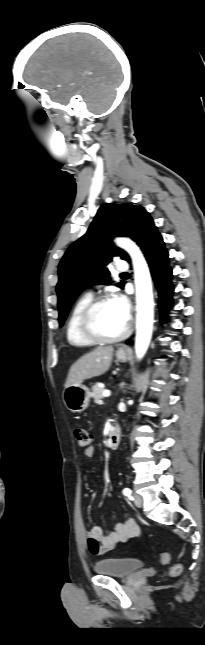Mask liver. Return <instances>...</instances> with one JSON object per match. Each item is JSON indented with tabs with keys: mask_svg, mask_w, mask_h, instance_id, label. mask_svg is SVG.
I'll list each match as a JSON object with an SVG mask.
<instances>
[{
	"mask_svg": "<svg viewBox=\"0 0 205 645\" xmlns=\"http://www.w3.org/2000/svg\"><path fill=\"white\" fill-rule=\"evenodd\" d=\"M113 351L112 346H100L79 358L69 370L65 388L108 371Z\"/></svg>",
	"mask_w": 205,
	"mask_h": 645,
	"instance_id": "obj_1",
	"label": "liver"
}]
</instances>
